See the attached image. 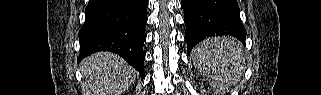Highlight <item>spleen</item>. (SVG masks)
<instances>
[{
  "label": "spleen",
  "instance_id": "3e777b00",
  "mask_svg": "<svg viewBox=\"0 0 321 95\" xmlns=\"http://www.w3.org/2000/svg\"><path fill=\"white\" fill-rule=\"evenodd\" d=\"M193 60L211 86L222 90L237 83L245 65L239 42L230 37H215L202 41L193 51Z\"/></svg>",
  "mask_w": 321,
  "mask_h": 95
}]
</instances>
